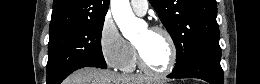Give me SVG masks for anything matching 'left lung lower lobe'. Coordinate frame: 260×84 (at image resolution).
I'll return each mask as SVG.
<instances>
[{"mask_svg": "<svg viewBox=\"0 0 260 84\" xmlns=\"http://www.w3.org/2000/svg\"><path fill=\"white\" fill-rule=\"evenodd\" d=\"M221 50L213 49L196 55L183 68L172 71L168 78H199L210 84H223V70L220 65Z\"/></svg>", "mask_w": 260, "mask_h": 84, "instance_id": "0a47b994", "label": "left lung lower lobe"}]
</instances>
